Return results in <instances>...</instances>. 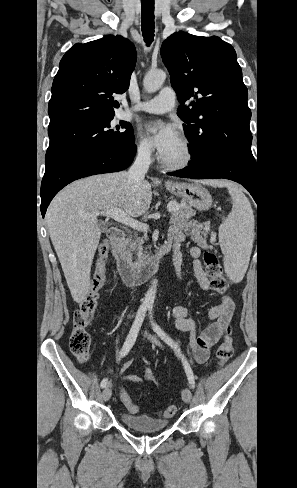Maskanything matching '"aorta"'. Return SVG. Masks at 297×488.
<instances>
[{
  "label": "aorta",
  "mask_w": 297,
  "mask_h": 488,
  "mask_svg": "<svg viewBox=\"0 0 297 488\" xmlns=\"http://www.w3.org/2000/svg\"><path fill=\"white\" fill-rule=\"evenodd\" d=\"M166 79V73L163 70H157L153 72H149L145 75L143 80L144 89L149 92L157 91L164 83ZM157 290V280L154 279L151 282V286L149 287L148 291L145 294L143 299V305L146 307H152L155 300Z\"/></svg>",
  "instance_id": "762f6f07"
}]
</instances>
